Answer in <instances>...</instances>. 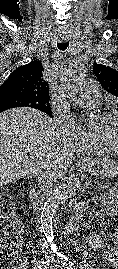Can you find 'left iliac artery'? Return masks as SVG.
Wrapping results in <instances>:
<instances>
[{
	"mask_svg": "<svg viewBox=\"0 0 118 269\" xmlns=\"http://www.w3.org/2000/svg\"><path fill=\"white\" fill-rule=\"evenodd\" d=\"M58 256L60 257V260L66 269H75L74 263L70 261L67 256L63 254H59Z\"/></svg>",
	"mask_w": 118,
	"mask_h": 269,
	"instance_id": "44dca946",
	"label": "left iliac artery"
}]
</instances>
